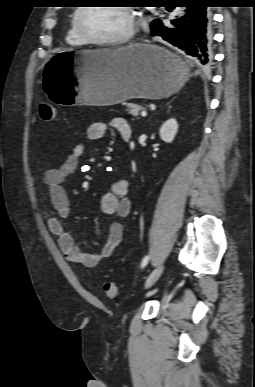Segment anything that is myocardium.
Masks as SVG:
<instances>
[{
    "mask_svg": "<svg viewBox=\"0 0 255 387\" xmlns=\"http://www.w3.org/2000/svg\"><path fill=\"white\" fill-rule=\"evenodd\" d=\"M89 7L90 6H81L77 8L74 15L75 30L79 35V37L86 43L92 44V45H98V46H118V45H123L128 43L135 36L136 29H137V15L134 9L129 6H117L120 9L124 10L129 16V18L131 19V25L128 32L123 36L119 38H114V39H97L92 37L84 29L82 25V20H81L83 12Z\"/></svg>",
    "mask_w": 255,
    "mask_h": 387,
    "instance_id": "1",
    "label": "myocardium"
}]
</instances>
